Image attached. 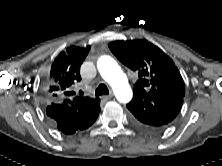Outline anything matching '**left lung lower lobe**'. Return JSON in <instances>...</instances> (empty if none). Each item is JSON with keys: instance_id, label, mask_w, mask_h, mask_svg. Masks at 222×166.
Segmentation results:
<instances>
[{"instance_id": "1", "label": "left lung lower lobe", "mask_w": 222, "mask_h": 166, "mask_svg": "<svg viewBox=\"0 0 222 166\" xmlns=\"http://www.w3.org/2000/svg\"><path fill=\"white\" fill-rule=\"evenodd\" d=\"M183 97L176 93H160L154 97L134 94L127 104L130 120L138 128L147 131L161 130L178 115Z\"/></svg>"}]
</instances>
